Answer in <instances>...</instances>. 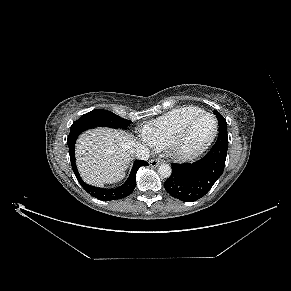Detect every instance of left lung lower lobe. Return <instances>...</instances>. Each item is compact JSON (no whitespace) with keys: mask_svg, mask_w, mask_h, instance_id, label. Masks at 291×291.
<instances>
[{"mask_svg":"<svg viewBox=\"0 0 291 291\" xmlns=\"http://www.w3.org/2000/svg\"><path fill=\"white\" fill-rule=\"evenodd\" d=\"M227 148V134L219 132L216 143L202 159L192 164H171L172 174L164 183L166 191L184 202L205 196L223 173Z\"/></svg>","mask_w":291,"mask_h":291,"instance_id":"left-lung-lower-lobe-1","label":"left lung lower lobe"}]
</instances>
